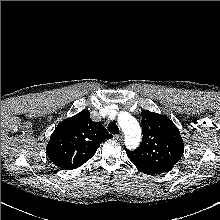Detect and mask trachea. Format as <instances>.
I'll list each match as a JSON object with an SVG mask.
<instances>
[{
	"label": "trachea",
	"mask_w": 220,
	"mask_h": 220,
	"mask_svg": "<svg viewBox=\"0 0 220 220\" xmlns=\"http://www.w3.org/2000/svg\"><path fill=\"white\" fill-rule=\"evenodd\" d=\"M108 131L112 134H117L119 132V128H118L117 124L110 123L108 125Z\"/></svg>",
	"instance_id": "obj_1"
}]
</instances>
